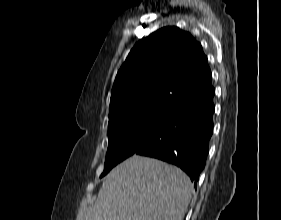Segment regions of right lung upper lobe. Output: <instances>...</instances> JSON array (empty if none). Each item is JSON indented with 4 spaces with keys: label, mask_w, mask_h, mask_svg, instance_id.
<instances>
[{
    "label": "right lung upper lobe",
    "mask_w": 281,
    "mask_h": 220,
    "mask_svg": "<svg viewBox=\"0 0 281 220\" xmlns=\"http://www.w3.org/2000/svg\"><path fill=\"white\" fill-rule=\"evenodd\" d=\"M202 46L178 27L161 28L139 41L117 73L109 123L142 113H166L212 87Z\"/></svg>",
    "instance_id": "1"
}]
</instances>
